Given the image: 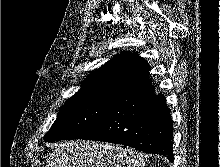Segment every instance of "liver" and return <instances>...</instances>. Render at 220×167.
I'll return each mask as SVG.
<instances>
[{"label":"liver","mask_w":220,"mask_h":167,"mask_svg":"<svg viewBox=\"0 0 220 167\" xmlns=\"http://www.w3.org/2000/svg\"><path fill=\"white\" fill-rule=\"evenodd\" d=\"M146 156L129 147L96 141H64L55 145L46 167H144Z\"/></svg>","instance_id":"6515ba94"}]
</instances>
